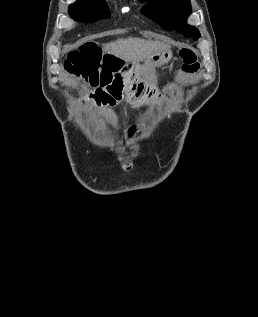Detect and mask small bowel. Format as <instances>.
I'll use <instances>...</instances> for the list:
<instances>
[{"label": "small bowel", "instance_id": "1", "mask_svg": "<svg viewBox=\"0 0 258 317\" xmlns=\"http://www.w3.org/2000/svg\"><path fill=\"white\" fill-rule=\"evenodd\" d=\"M109 127H110V129L114 132V134L118 137V138H120V126H119V124H118V122L117 121H114V120H110L109 122ZM133 129L129 132V134H128V139H129V141H132V139H133Z\"/></svg>", "mask_w": 258, "mask_h": 317}]
</instances>
